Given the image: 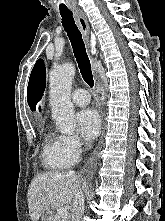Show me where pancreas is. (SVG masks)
<instances>
[{
  "instance_id": "1",
  "label": "pancreas",
  "mask_w": 165,
  "mask_h": 221,
  "mask_svg": "<svg viewBox=\"0 0 165 221\" xmlns=\"http://www.w3.org/2000/svg\"><path fill=\"white\" fill-rule=\"evenodd\" d=\"M51 221H69V217L66 218H60L58 214H53L51 216Z\"/></svg>"
}]
</instances>
